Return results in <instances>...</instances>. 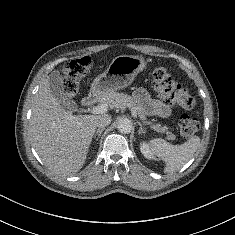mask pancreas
Returning <instances> with one entry per match:
<instances>
[{"instance_id":"cf45deb5","label":"pancreas","mask_w":235,"mask_h":235,"mask_svg":"<svg viewBox=\"0 0 235 235\" xmlns=\"http://www.w3.org/2000/svg\"><path fill=\"white\" fill-rule=\"evenodd\" d=\"M101 103H106L110 107L125 109L126 107H134L138 112V116L145 122L146 116L144 112L135 104L133 98L127 94L119 92H109L102 96L100 99ZM155 131L165 133L168 140H175L176 136L168 130L166 126L160 124L151 126Z\"/></svg>"}]
</instances>
